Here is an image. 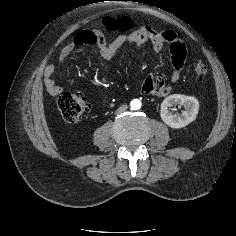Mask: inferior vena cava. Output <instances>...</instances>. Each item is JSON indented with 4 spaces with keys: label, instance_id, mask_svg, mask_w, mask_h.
I'll list each match as a JSON object with an SVG mask.
<instances>
[{
    "label": "inferior vena cava",
    "instance_id": "1",
    "mask_svg": "<svg viewBox=\"0 0 236 236\" xmlns=\"http://www.w3.org/2000/svg\"><path fill=\"white\" fill-rule=\"evenodd\" d=\"M128 108L127 105H121L117 110H116V113L117 114H120V113H123L124 111H126Z\"/></svg>",
    "mask_w": 236,
    "mask_h": 236
}]
</instances>
